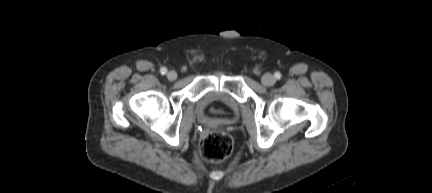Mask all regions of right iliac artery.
I'll return each mask as SVG.
<instances>
[{
	"label": "right iliac artery",
	"mask_w": 432,
	"mask_h": 193,
	"mask_svg": "<svg viewBox=\"0 0 432 193\" xmlns=\"http://www.w3.org/2000/svg\"><path fill=\"white\" fill-rule=\"evenodd\" d=\"M160 72H161L162 75H164V74L167 73V69H166L165 67H162V68L160 69Z\"/></svg>",
	"instance_id": "right-iliac-artery-1"
}]
</instances>
